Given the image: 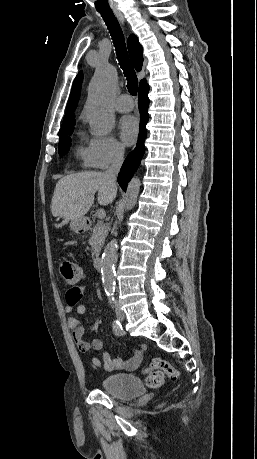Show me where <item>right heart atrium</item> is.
<instances>
[{
	"label": "right heart atrium",
	"instance_id": "1",
	"mask_svg": "<svg viewBox=\"0 0 257 459\" xmlns=\"http://www.w3.org/2000/svg\"><path fill=\"white\" fill-rule=\"evenodd\" d=\"M87 152L92 167L105 169L122 159L124 147L113 136H97L89 139Z\"/></svg>",
	"mask_w": 257,
	"mask_h": 459
}]
</instances>
